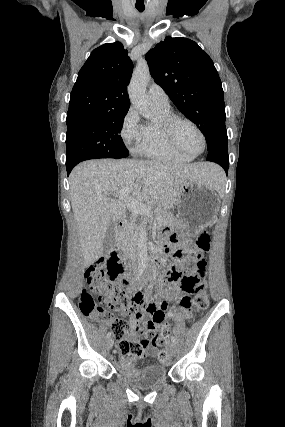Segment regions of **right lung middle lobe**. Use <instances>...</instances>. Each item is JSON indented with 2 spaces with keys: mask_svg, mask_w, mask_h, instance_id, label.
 <instances>
[{
  "mask_svg": "<svg viewBox=\"0 0 285 427\" xmlns=\"http://www.w3.org/2000/svg\"><path fill=\"white\" fill-rule=\"evenodd\" d=\"M127 111H112L66 120V167L95 158L128 156L120 131Z\"/></svg>",
  "mask_w": 285,
  "mask_h": 427,
  "instance_id": "dd1d6c3e",
  "label": "right lung middle lobe"
}]
</instances>
